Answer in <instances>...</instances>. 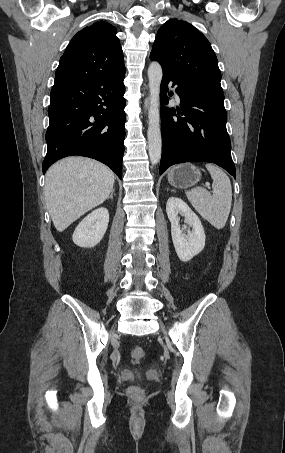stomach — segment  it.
Listing matches in <instances>:
<instances>
[{
	"label": "stomach",
	"mask_w": 285,
	"mask_h": 453,
	"mask_svg": "<svg viewBox=\"0 0 285 453\" xmlns=\"http://www.w3.org/2000/svg\"><path fill=\"white\" fill-rule=\"evenodd\" d=\"M201 178L198 167L191 163L172 167L168 173V182L176 188H188L195 185Z\"/></svg>",
	"instance_id": "obj_1"
}]
</instances>
